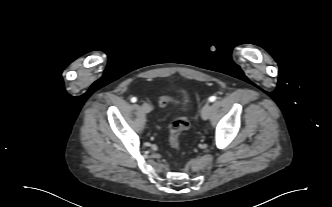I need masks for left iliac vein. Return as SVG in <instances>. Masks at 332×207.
<instances>
[{
    "label": "left iliac vein",
    "instance_id": "1",
    "mask_svg": "<svg viewBox=\"0 0 332 207\" xmlns=\"http://www.w3.org/2000/svg\"><path fill=\"white\" fill-rule=\"evenodd\" d=\"M211 105L206 103L201 110V117L203 120H207L210 116Z\"/></svg>",
    "mask_w": 332,
    "mask_h": 207
}]
</instances>
